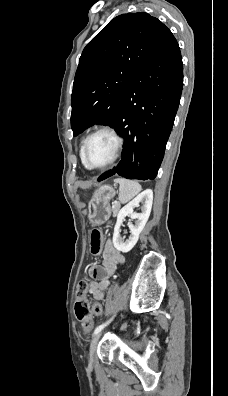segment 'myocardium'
Returning <instances> with one entry per match:
<instances>
[{"label":"myocardium","mask_w":228,"mask_h":396,"mask_svg":"<svg viewBox=\"0 0 228 396\" xmlns=\"http://www.w3.org/2000/svg\"><path fill=\"white\" fill-rule=\"evenodd\" d=\"M99 133H107L109 135L112 136V138L115 141V148H114V152L112 157L104 164L102 165H91L88 161L87 158V149H88V145L90 140L97 134ZM122 145H123V140L121 138V136L117 133V131L112 128L111 126L108 125H103L100 126L98 128H96L94 131H92L84 140L83 143V151H82V155H83V161L85 166L90 169V170H101V169H105L108 168L109 166H111L119 157L121 149H122Z\"/></svg>","instance_id":"myocardium-1"}]
</instances>
